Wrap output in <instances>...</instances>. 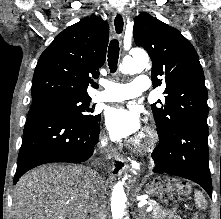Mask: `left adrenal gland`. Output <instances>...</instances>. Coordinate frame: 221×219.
Returning a JSON list of instances; mask_svg holds the SVG:
<instances>
[{"label":"left adrenal gland","instance_id":"obj_1","mask_svg":"<svg viewBox=\"0 0 221 219\" xmlns=\"http://www.w3.org/2000/svg\"><path fill=\"white\" fill-rule=\"evenodd\" d=\"M139 216H140V218H138V219H141V217H142V219H147V218H145V215L142 214L141 212H140Z\"/></svg>","mask_w":221,"mask_h":219}]
</instances>
